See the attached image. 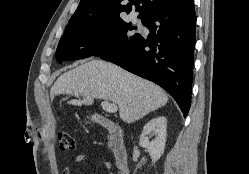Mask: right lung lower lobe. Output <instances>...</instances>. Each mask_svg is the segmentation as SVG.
<instances>
[{"instance_id":"right-lung-lower-lobe-1","label":"right lung lower lobe","mask_w":249,"mask_h":174,"mask_svg":"<svg viewBox=\"0 0 249 174\" xmlns=\"http://www.w3.org/2000/svg\"><path fill=\"white\" fill-rule=\"evenodd\" d=\"M143 24L150 30L147 38L140 36L120 52L100 57L167 90L186 116L196 40L194 2L158 11Z\"/></svg>"}]
</instances>
